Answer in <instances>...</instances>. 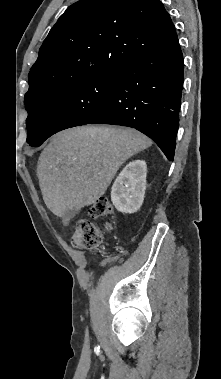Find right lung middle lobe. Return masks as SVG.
<instances>
[{
  "instance_id": "right-lung-middle-lobe-1",
  "label": "right lung middle lobe",
  "mask_w": 221,
  "mask_h": 379,
  "mask_svg": "<svg viewBox=\"0 0 221 379\" xmlns=\"http://www.w3.org/2000/svg\"><path fill=\"white\" fill-rule=\"evenodd\" d=\"M118 70L105 71L59 85L26 104L30 146L41 145L52 134L87 124L111 100Z\"/></svg>"
}]
</instances>
